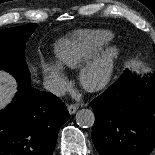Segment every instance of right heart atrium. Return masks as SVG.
Instances as JSON below:
<instances>
[{
  "label": "right heart atrium",
  "mask_w": 155,
  "mask_h": 155,
  "mask_svg": "<svg viewBox=\"0 0 155 155\" xmlns=\"http://www.w3.org/2000/svg\"><path fill=\"white\" fill-rule=\"evenodd\" d=\"M41 69L49 90L55 94H61L67 86L62 68L56 63L45 61L41 63Z\"/></svg>",
  "instance_id": "obj_1"
}]
</instances>
